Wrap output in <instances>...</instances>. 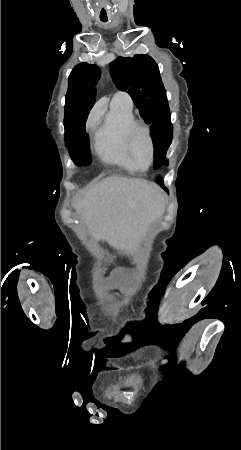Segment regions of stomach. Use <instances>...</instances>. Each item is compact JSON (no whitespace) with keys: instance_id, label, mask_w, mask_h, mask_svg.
<instances>
[{"instance_id":"obj_1","label":"stomach","mask_w":241,"mask_h":450,"mask_svg":"<svg viewBox=\"0 0 241 450\" xmlns=\"http://www.w3.org/2000/svg\"><path fill=\"white\" fill-rule=\"evenodd\" d=\"M113 277L115 282H117L119 285H125L128 281L127 277L121 270H116Z\"/></svg>"}]
</instances>
